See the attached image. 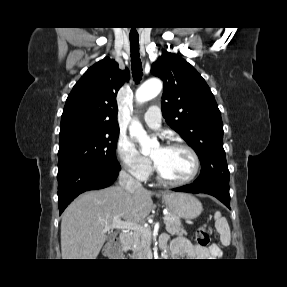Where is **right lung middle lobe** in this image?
Masks as SVG:
<instances>
[{
  "label": "right lung middle lobe",
  "instance_id": "obj_1",
  "mask_svg": "<svg viewBox=\"0 0 287 287\" xmlns=\"http://www.w3.org/2000/svg\"><path fill=\"white\" fill-rule=\"evenodd\" d=\"M119 129L75 124L59 133L58 172L77 165H89L119 171L116 144Z\"/></svg>",
  "mask_w": 287,
  "mask_h": 287
}]
</instances>
